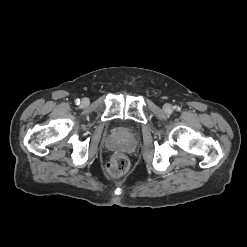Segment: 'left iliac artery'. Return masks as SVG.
<instances>
[{
	"mask_svg": "<svg viewBox=\"0 0 247 247\" xmlns=\"http://www.w3.org/2000/svg\"><path fill=\"white\" fill-rule=\"evenodd\" d=\"M175 109L179 110V107L175 106Z\"/></svg>",
	"mask_w": 247,
	"mask_h": 247,
	"instance_id": "44dca946",
	"label": "left iliac artery"
}]
</instances>
